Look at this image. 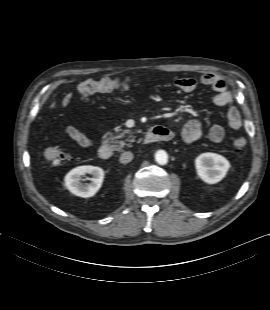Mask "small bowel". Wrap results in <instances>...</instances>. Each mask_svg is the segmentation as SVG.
<instances>
[{"instance_id": "1", "label": "small bowel", "mask_w": 270, "mask_h": 310, "mask_svg": "<svg viewBox=\"0 0 270 310\" xmlns=\"http://www.w3.org/2000/svg\"><path fill=\"white\" fill-rule=\"evenodd\" d=\"M91 81L90 79L83 80L79 86L83 83ZM198 84L209 86L215 92L212 98V102L216 106L227 107L226 120L228 126L232 130H238L242 126V117L236 106L233 104V96L229 91L226 83L220 77L213 73L203 74L199 81L192 77L178 78L174 81V86L185 93H190L196 90ZM72 92L66 93L62 98V105L68 106L72 100ZM65 135L76 142L81 147H92L94 142L87 135H85L80 129L75 126H67L64 130ZM203 135L202 124L197 119L189 120L183 127L182 138L190 144L199 140ZM225 136V129L221 124H213L209 131L208 137L212 142H220Z\"/></svg>"}]
</instances>
